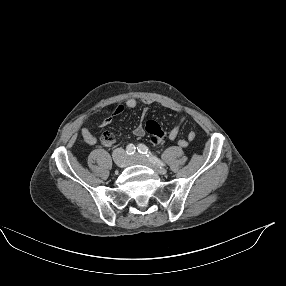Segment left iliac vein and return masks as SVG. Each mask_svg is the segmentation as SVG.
<instances>
[{
    "mask_svg": "<svg viewBox=\"0 0 286 286\" xmlns=\"http://www.w3.org/2000/svg\"><path fill=\"white\" fill-rule=\"evenodd\" d=\"M130 164L146 165L161 175H165L167 173V170L165 168L152 163L148 158L139 153H136L130 158Z\"/></svg>",
    "mask_w": 286,
    "mask_h": 286,
    "instance_id": "1",
    "label": "left iliac vein"
}]
</instances>
